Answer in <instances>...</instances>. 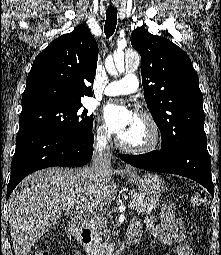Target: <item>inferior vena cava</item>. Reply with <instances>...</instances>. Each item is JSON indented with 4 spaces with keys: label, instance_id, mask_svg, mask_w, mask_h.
Segmentation results:
<instances>
[{
    "label": "inferior vena cava",
    "instance_id": "obj_1",
    "mask_svg": "<svg viewBox=\"0 0 221 255\" xmlns=\"http://www.w3.org/2000/svg\"><path fill=\"white\" fill-rule=\"evenodd\" d=\"M111 152L106 136L97 140L92 159V169L97 173L108 170L111 166Z\"/></svg>",
    "mask_w": 221,
    "mask_h": 255
}]
</instances>
